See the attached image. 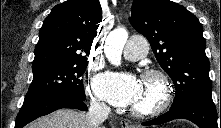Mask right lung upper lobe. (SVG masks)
Instances as JSON below:
<instances>
[{"mask_svg":"<svg viewBox=\"0 0 221 128\" xmlns=\"http://www.w3.org/2000/svg\"><path fill=\"white\" fill-rule=\"evenodd\" d=\"M101 21L99 0H68L56 5L39 31L32 71L88 60Z\"/></svg>","mask_w":221,"mask_h":128,"instance_id":"right-lung-upper-lobe-1","label":"right lung upper lobe"}]
</instances>
